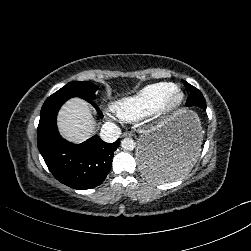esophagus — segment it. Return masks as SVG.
Here are the masks:
<instances>
[{
    "label": "esophagus",
    "mask_w": 251,
    "mask_h": 251,
    "mask_svg": "<svg viewBox=\"0 0 251 251\" xmlns=\"http://www.w3.org/2000/svg\"><path fill=\"white\" fill-rule=\"evenodd\" d=\"M131 134L130 133H128V132H124L123 133V136H130Z\"/></svg>",
    "instance_id": "obj_1"
}]
</instances>
